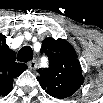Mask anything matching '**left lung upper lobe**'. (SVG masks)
Instances as JSON below:
<instances>
[{
	"instance_id": "obj_1",
	"label": "left lung upper lobe",
	"mask_w": 103,
	"mask_h": 103,
	"mask_svg": "<svg viewBox=\"0 0 103 103\" xmlns=\"http://www.w3.org/2000/svg\"><path fill=\"white\" fill-rule=\"evenodd\" d=\"M41 53L49 57L48 69H39L37 80L51 96L59 99L73 95L83 84L80 62L74 48L64 39L45 38Z\"/></svg>"
}]
</instances>
